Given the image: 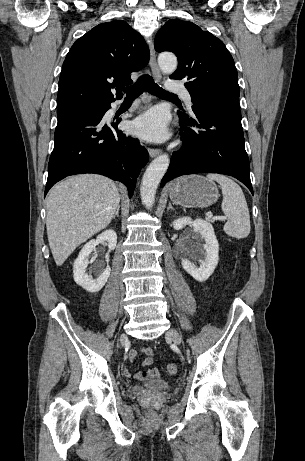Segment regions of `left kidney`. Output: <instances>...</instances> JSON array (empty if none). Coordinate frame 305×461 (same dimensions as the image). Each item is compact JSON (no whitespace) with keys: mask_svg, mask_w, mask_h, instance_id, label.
<instances>
[{"mask_svg":"<svg viewBox=\"0 0 305 461\" xmlns=\"http://www.w3.org/2000/svg\"><path fill=\"white\" fill-rule=\"evenodd\" d=\"M187 225L193 227V232L200 234L205 240L202 249H196L195 246H186L187 255L191 257L194 253L199 252L202 259L200 266H195L188 258H182L181 264L185 271L190 274L195 280L199 282L206 281L214 272L218 264L219 244L216 239L212 225L202 219L192 221L190 217H183L173 222L175 230H181Z\"/></svg>","mask_w":305,"mask_h":461,"instance_id":"obj_1","label":"left kidney"}]
</instances>
